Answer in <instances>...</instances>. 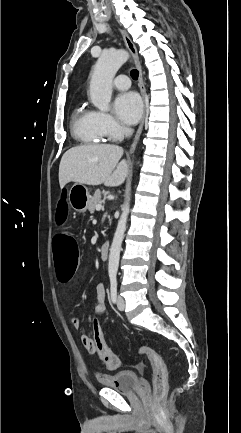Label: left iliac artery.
<instances>
[{
	"label": "left iliac artery",
	"instance_id": "44dca946",
	"mask_svg": "<svg viewBox=\"0 0 241 433\" xmlns=\"http://www.w3.org/2000/svg\"><path fill=\"white\" fill-rule=\"evenodd\" d=\"M117 297V279L116 276H110V298L113 303L116 302Z\"/></svg>",
	"mask_w": 241,
	"mask_h": 433
}]
</instances>
